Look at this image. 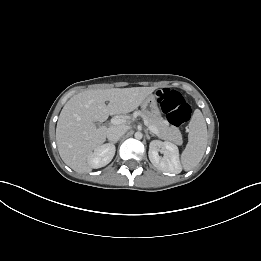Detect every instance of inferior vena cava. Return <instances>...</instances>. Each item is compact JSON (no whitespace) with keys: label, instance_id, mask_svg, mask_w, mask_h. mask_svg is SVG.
Wrapping results in <instances>:
<instances>
[{"label":"inferior vena cava","instance_id":"inferior-vena-cava-1","mask_svg":"<svg viewBox=\"0 0 261 261\" xmlns=\"http://www.w3.org/2000/svg\"><path fill=\"white\" fill-rule=\"evenodd\" d=\"M128 128L124 125L111 126L107 129L106 136L109 141L117 142L126 132Z\"/></svg>","mask_w":261,"mask_h":261}]
</instances>
